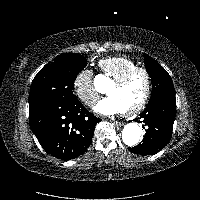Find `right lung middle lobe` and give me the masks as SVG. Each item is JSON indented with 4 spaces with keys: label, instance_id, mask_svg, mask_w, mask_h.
Instances as JSON below:
<instances>
[{
    "label": "right lung middle lobe",
    "instance_id": "obj_1",
    "mask_svg": "<svg viewBox=\"0 0 200 200\" xmlns=\"http://www.w3.org/2000/svg\"><path fill=\"white\" fill-rule=\"evenodd\" d=\"M86 65V59L78 54L63 53L55 57L54 62L45 65L33 79L29 104L41 101L69 103L76 100L74 81Z\"/></svg>",
    "mask_w": 200,
    "mask_h": 200
}]
</instances>
